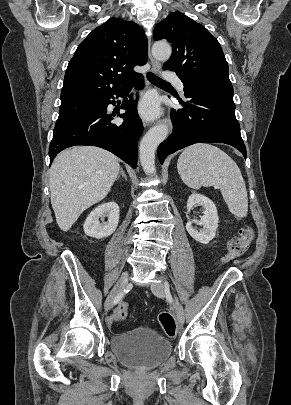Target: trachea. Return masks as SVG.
Returning <instances> with one entry per match:
<instances>
[{
    "instance_id": "trachea-1",
    "label": "trachea",
    "mask_w": 291,
    "mask_h": 405,
    "mask_svg": "<svg viewBox=\"0 0 291 405\" xmlns=\"http://www.w3.org/2000/svg\"><path fill=\"white\" fill-rule=\"evenodd\" d=\"M147 78L148 80L154 84V85H162V86H170V83L162 80L161 78L157 77L155 74H153L152 72H148L147 73Z\"/></svg>"
}]
</instances>
